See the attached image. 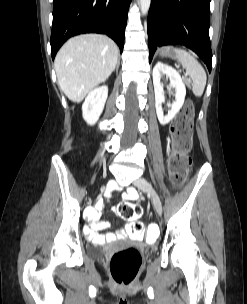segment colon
<instances>
[{
	"label": "colon",
	"mask_w": 247,
	"mask_h": 304,
	"mask_svg": "<svg viewBox=\"0 0 247 304\" xmlns=\"http://www.w3.org/2000/svg\"><path fill=\"white\" fill-rule=\"evenodd\" d=\"M194 106L187 101L171 123L172 152L168 160V173L175 187L184 184L191 166L189 152L192 147V128ZM118 214L130 221L128 235L131 241H141L145 233L138 218L142 209L136 204L122 202L117 208ZM149 238H160L159 224H146ZM143 246H154V239H143ZM142 263L140 251L133 246L116 251L110 258L109 267L114 281L121 286H128L136 277Z\"/></svg>",
	"instance_id": "obj_1"
}]
</instances>
